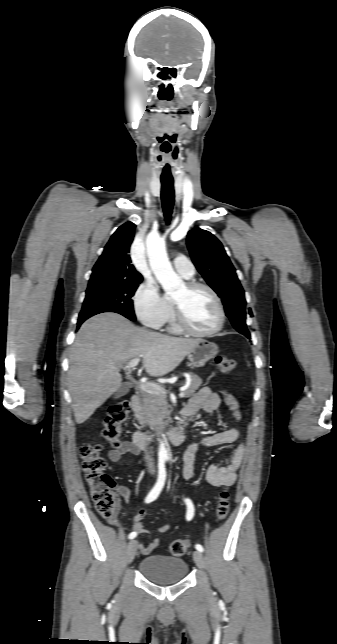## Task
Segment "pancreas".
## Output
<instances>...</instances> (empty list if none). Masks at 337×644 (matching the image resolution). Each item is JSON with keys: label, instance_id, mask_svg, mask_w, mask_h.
<instances>
[{"label": "pancreas", "instance_id": "cf45deb5", "mask_svg": "<svg viewBox=\"0 0 337 644\" xmlns=\"http://www.w3.org/2000/svg\"><path fill=\"white\" fill-rule=\"evenodd\" d=\"M190 386L184 391L185 397L192 396L202 383L201 378L193 373L188 374ZM141 412L140 423L148 425L151 429L163 425L165 419H169V406L166 395L162 393L151 394L145 391L140 392Z\"/></svg>", "mask_w": 337, "mask_h": 644}]
</instances>
